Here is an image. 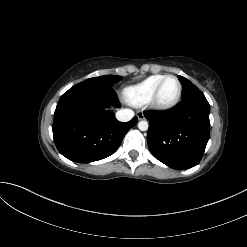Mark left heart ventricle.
Listing matches in <instances>:
<instances>
[{"label":"left heart ventricle","mask_w":247,"mask_h":247,"mask_svg":"<svg viewBox=\"0 0 247 247\" xmlns=\"http://www.w3.org/2000/svg\"><path fill=\"white\" fill-rule=\"evenodd\" d=\"M178 91L177 81L173 78H169L165 81L160 91V101L162 102H170L173 100Z\"/></svg>","instance_id":"1"}]
</instances>
